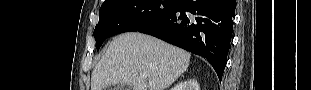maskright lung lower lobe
Here are the masks:
<instances>
[{
    "instance_id": "obj_1",
    "label": "right lung lower lobe",
    "mask_w": 311,
    "mask_h": 90,
    "mask_svg": "<svg viewBox=\"0 0 311 90\" xmlns=\"http://www.w3.org/2000/svg\"><path fill=\"white\" fill-rule=\"evenodd\" d=\"M234 15L235 0H179L170 13L138 32L205 57L221 81Z\"/></svg>"
}]
</instances>
